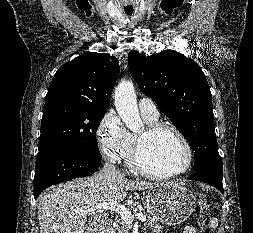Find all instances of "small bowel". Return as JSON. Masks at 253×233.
<instances>
[{"label":"small bowel","instance_id":"obj_1","mask_svg":"<svg viewBox=\"0 0 253 233\" xmlns=\"http://www.w3.org/2000/svg\"><path fill=\"white\" fill-rule=\"evenodd\" d=\"M183 233H197L194 227H186L183 231Z\"/></svg>","mask_w":253,"mask_h":233}]
</instances>
